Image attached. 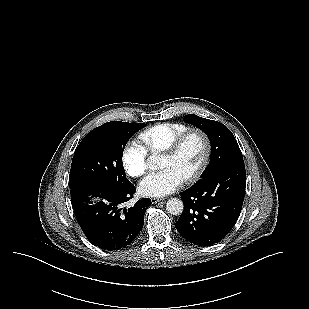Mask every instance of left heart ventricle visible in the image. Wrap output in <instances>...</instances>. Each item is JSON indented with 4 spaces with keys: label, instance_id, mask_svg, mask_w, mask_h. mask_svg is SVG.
<instances>
[{
    "label": "left heart ventricle",
    "instance_id": "obj_1",
    "mask_svg": "<svg viewBox=\"0 0 309 309\" xmlns=\"http://www.w3.org/2000/svg\"><path fill=\"white\" fill-rule=\"evenodd\" d=\"M204 156V143L199 135H191L177 155H163L161 168L174 170L183 180L191 175L200 165Z\"/></svg>",
    "mask_w": 309,
    "mask_h": 309
}]
</instances>
